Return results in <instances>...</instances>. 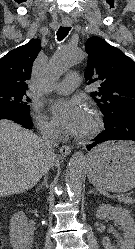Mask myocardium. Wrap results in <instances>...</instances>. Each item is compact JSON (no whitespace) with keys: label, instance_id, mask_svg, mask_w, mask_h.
<instances>
[{"label":"myocardium","instance_id":"obj_1","mask_svg":"<svg viewBox=\"0 0 135 249\" xmlns=\"http://www.w3.org/2000/svg\"><path fill=\"white\" fill-rule=\"evenodd\" d=\"M90 116H91V125L88 131L80 137V140L91 139L101 130L102 120L98 112L92 109L90 110Z\"/></svg>","mask_w":135,"mask_h":249}]
</instances>
